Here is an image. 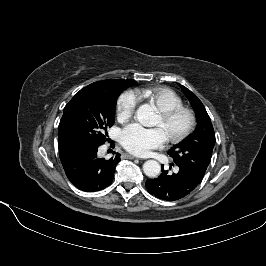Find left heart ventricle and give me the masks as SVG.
I'll return each instance as SVG.
<instances>
[{"mask_svg": "<svg viewBox=\"0 0 266 266\" xmlns=\"http://www.w3.org/2000/svg\"><path fill=\"white\" fill-rule=\"evenodd\" d=\"M153 125L162 128L167 137H169L177 135L185 129L187 125V117L185 115H179L170 121H165L160 115H158L153 122Z\"/></svg>", "mask_w": 266, "mask_h": 266, "instance_id": "b2bd125f", "label": "left heart ventricle"}]
</instances>
